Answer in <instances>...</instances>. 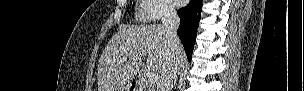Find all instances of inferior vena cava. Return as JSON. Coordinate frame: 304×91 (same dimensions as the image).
<instances>
[{
    "mask_svg": "<svg viewBox=\"0 0 304 91\" xmlns=\"http://www.w3.org/2000/svg\"><path fill=\"white\" fill-rule=\"evenodd\" d=\"M179 24L180 19L175 7L172 5L165 6L163 9L162 26L165 31L170 58L158 80L157 91H171L173 82L177 78L180 65V40L177 36Z\"/></svg>",
    "mask_w": 304,
    "mask_h": 91,
    "instance_id": "inferior-vena-cava-1",
    "label": "inferior vena cava"
}]
</instances>
